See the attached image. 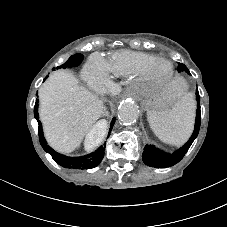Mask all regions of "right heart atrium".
<instances>
[{
  "label": "right heart atrium",
  "instance_id": "right-heart-atrium-1",
  "mask_svg": "<svg viewBox=\"0 0 227 227\" xmlns=\"http://www.w3.org/2000/svg\"><path fill=\"white\" fill-rule=\"evenodd\" d=\"M87 73L94 80H101L103 77V69L97 60H91L87 65Z\"/></svg>",
  "mask_w": 227,
  "mask_h": 227
}]
</instances>
